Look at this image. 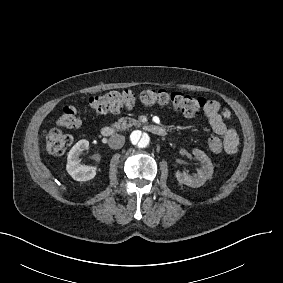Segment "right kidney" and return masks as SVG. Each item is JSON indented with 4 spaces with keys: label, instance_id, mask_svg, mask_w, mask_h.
Masks as SVG:
<instances>
[{
    "label": "right kidney",
    "instance_id": "right-kidney-1",
    "mask_svg": "<svg viewBox=\"0 0 283 283\" xmlns=\"http://www.w3.org/2000/svg\"><path fill=\"white\" fill-rule=\"evenodd\" d=\"M87 149H89V141L82 139L68 153L66 170L76 181H88L96 175L94 167L80 164L79 156Z\"/></svg>",
    "mask_w": 283,
    "mask_h": 283
}]
</instances>
